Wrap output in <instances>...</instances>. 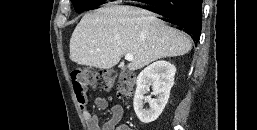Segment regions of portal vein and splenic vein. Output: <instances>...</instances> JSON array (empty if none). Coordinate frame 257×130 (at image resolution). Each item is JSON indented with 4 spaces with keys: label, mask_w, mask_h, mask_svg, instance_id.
Wrapping results in <instances>:
<instances>
[{
    "label": "portal vein and splenic vein",
    "mask_w": 257,
    "mask_h": 130,
    "mask_svg": "<svg viewBox=\"0 0 257 130\" xmlns=\"http://www.w3.org/2000/svg\"><path fill=\"white\" fill-rule=\"evenodd\" d=\"M125 60H127V61H133V60H134V57H133V55H131V54H126V55H125Z\"/></svg>",
    "instance_id": "obj_1"
}]
</instances>
